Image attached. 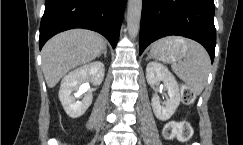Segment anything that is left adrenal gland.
I'll return each instance as SVG.
<instances>
[{"mask_svg": "<svg viewBox=\"0 0 243 145\" xmlns=\"http://www.w3.org/2000/svg\"><path fill=\"white\" fill-rule=\"evenodd\" d=\"M150 58V55L148 54V57L146 58V60H148Z\"/></svg>", "mask_w": 243, "mask_h": 145, "instance_id": "1", "label": "left adrenal gland"}]
</instances>
